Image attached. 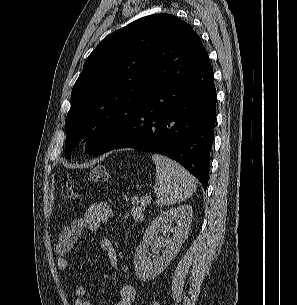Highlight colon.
<instances>
[{
  "label": "colon",
  "instance_id": "1",
  "mask_svg": "<svg viewBox=\"0 0 297 305\" xmlns=\"http://www.w3.org/2000/svg\"><path fill=\"white\" fill-rule=\"evenodd\" d=\"M108 179L109 175L107 169L103 165H98L90 171L89 181L92 183H103L108 181ZM61 191L66 199H77L79 196L77 182L71 176L66 177L63 180Z\"/></svg>",
  "mask_w": 297,
  "mask_h": 305
}]
</instances>
